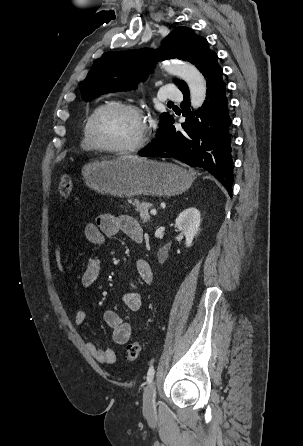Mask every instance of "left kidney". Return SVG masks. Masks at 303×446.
<instances>
[{
  "label": "left kidney",
  "mask_w": 303,
  "mask_h": 446,
  "mask_svg": "<svg viewBox=\"0 0 303 446\" xmlns=\"http://www.w3.org/2000/svg\"><path fill=\"white\" fill-rule=\"evenodd\" d=\"M200 222V212L195 207H190L182 211L176 218V225L186 238V247L192 245L193 239L198 233Z\"/></svg>",
  "instance_id": "1"
}]
</instances>
